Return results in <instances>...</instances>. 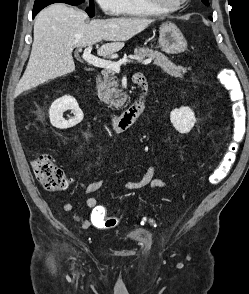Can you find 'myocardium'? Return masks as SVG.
Masks as SVG:
<instances>
[{
  "mask_svg": "<svg viewBox=\"0 0 249 294\" xmlns=\"http://www.w3.org/2000/svg\"><path fill=\"white\" fill-rule=\"evenodd\" d=\"M145 1L149 7H151L152 9L158 12V15L176 12L180 10L181 8H183L185 5H187V3L189 2V0H183L181 3L175 6H163L162 4H160L158 0H145Z\"/></svg>",
  "mask_w": 249,
  "mask_h": 294,
  "instance_id": "f54148a6",
  "label": "myocardium"
}]
</instances>
